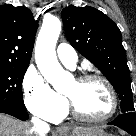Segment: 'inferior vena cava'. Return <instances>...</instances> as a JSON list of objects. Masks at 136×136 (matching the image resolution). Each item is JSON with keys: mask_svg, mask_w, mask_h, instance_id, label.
I'll return each mask as SVG.
<instances>
[{"mask_svg": "<svg viewBox=\"0 0 136 136\" xmlns=\"http://www.w3.org/2000/svg\"><path fill=\"white\" fill-rule=\"evenodd\" d=\"M32 123L33 129L38 132L39 135L45 136V133L49 130V125L36 117L32 118Z\"/></svg>", "mask_w": 136, "mask_h": 136, "instance_id": "obj_1", "label": "inferior vena cava"}]
</instances>
